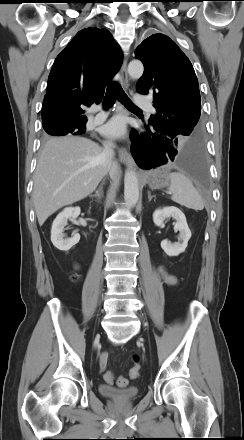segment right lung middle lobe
I'll use <instances>...</instances> for the list:
<instances>
[{
    "instance_id": "right-lung-middle-lobe-1",
    "label": "right lung middle lobe",
    "mask_w": 244,
    "mask_h": 440,
    "mask_svg": "<svg viewBox=\"0 0 244 440\" xmlns=\"http://www.w3.org/2000/svg\"><path fill=\"white\" fill-rule=\"evenodd\" d=\"M77 129H75L74 131H70L73 127V125L68 124V123H64V124H50L48 127L43 126L44 130H45V136L49 137V136H64L67 135L68 133H72L73 135H76L78 131L84 130L85 129V124L84 125H75ZM83 127L82 129L80 127Z\"/></svg>"
}]
</instances>
